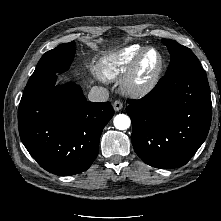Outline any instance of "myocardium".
I'll return each mask as SVG.
<instances>
[{
	"instance_id": "obj_1",
	"label": "myocardium",
	"mask_w": 221,
	"mask_h": 221,
	"mask_svg": "<svg viewBox=\"0 0 221 221\" xmlns=\"http://www.w3.org/2000/svg\"><path fill=\"white\" fill-rule=\"evenodd\" d=\"M150 51L157 54L158 62L155 69L144 79L140 77L141 64ZM164 59L161 51L156 47H146L137 55L122 79V89L125 93L141 97L151 92L157 85L163 71Z\"/></svg>"
}]
</instances>
